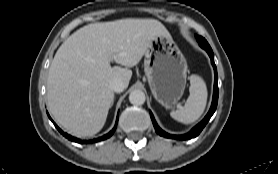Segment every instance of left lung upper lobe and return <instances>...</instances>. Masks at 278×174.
<instances>
[{
    "instance_id": "1",
    "label": "left lung upper lobe",
    "mask_w": 278,
    "mask_h": 174,
    "mask_svg": "<svg viewBox=\"0 0 278 174\" xmlns=\"http://www.w3.org/2000/svg\"><path fill=\"white\" fill-rule=\"evenodd\" d=\"M196 39H197L199 45H200L202 48H204V49H206V48H211V47L209 46L208 42H207L203 37H201V36H196Z\"/></svg>"
}]
</instances>
